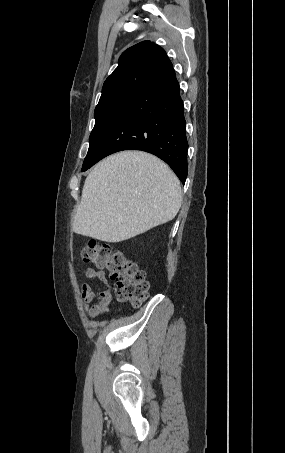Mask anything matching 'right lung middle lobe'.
<instances>
[{
	"label": "right lung middle lobe",
	"mask_w": 285,
	"mask_h": 453,
	"mask_svg": "<svg viewBox=\"0 0 285 453\" xmlns=\"http://www.w3.org/2000/svg\"><path fill=\"white\" fill-rule=\"evenodd\" d=\"M133 94L134 93H127L96 106L94 112L96 122L90 134L89 150L84 159L82 171L92 162L96 151L102 144V141L104 140L116 117Z\"/></svg>",
	"instance_id": "obj_1"
}]
</instances>
